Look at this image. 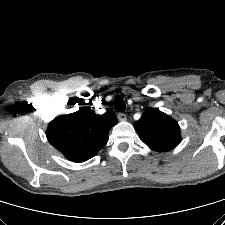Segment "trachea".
<instances>
[{
    "instance_id": "obj_1",
    "label": "trachea",
    "mask_w": 225,
    "mask_h": 225,
    "mask_svg": "<svg viewBox=\"0 0 225 225\" xmlns=\"http://www.w3.org/2000/svg\"><path fill=\"white\" fill-rule=\"evenodd\" d=\"M114 108L118 112H124L126 109L125 102L120 96H116L114 99Z\"/></svg>"
}]
</instances>
